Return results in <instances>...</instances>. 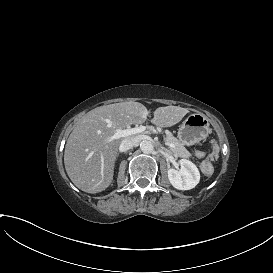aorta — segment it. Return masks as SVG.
Returning <instances> with one entry per match:
<instances>
[{"mask_svg": "<svg viewBox=\"0 0 273 273\" xmlns=\"http://www.w3.org/2000/svg\"><path fill=\"white\" fill-rule=\"evenodd\" d=\"M140 149L143 153L150 154L154 151V146H153L152 142L147 141V140H143L140 143Z\"/></svg>", "mask_w": 273, "mask_h": 273, "instance_id": "762f6f07", "label": "aorta"}]
</instances>
